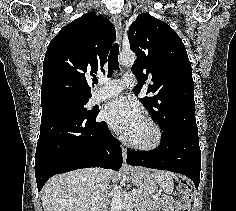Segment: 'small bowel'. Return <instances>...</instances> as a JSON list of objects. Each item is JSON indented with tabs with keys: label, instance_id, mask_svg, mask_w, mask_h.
Masks as SVG:
<instances>
[{
	"label": "small bowel",
	"instance_id": "1",
	"mask_svg": "<svg viewBox=\"0 0 236 211\" xmlns=\"http://www.w3.org/2000/svg\"><path fill=\"white\" fill-rule=\"evenodd\" d=\"M182 211L178 208L175 203H172L166 199H160L157 203V206L149 211Z\"/></svg>",
	"mask_w": 236,
	"mask_h": 211
}]
</instances>
